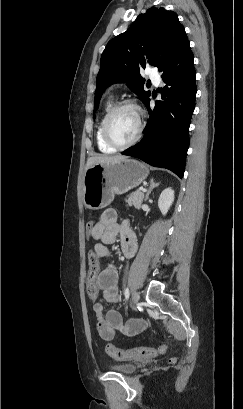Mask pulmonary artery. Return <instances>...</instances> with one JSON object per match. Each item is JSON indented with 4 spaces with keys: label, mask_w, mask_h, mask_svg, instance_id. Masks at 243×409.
Listing matches in <instances>:
<instances>
[{
    "label": "pulmonary artery",
    "mask_w": 243,
    "mask_h": 409,
    "mask_svg": "<svg viewBox=\"0 0 243 409\" xmlns=\"http://www.w3.org/2000/svg\"><path fill=\"white\" fill-rule=\"evenodd\" d=\"M149 77L155 84H159L161 82V77L156 71H151L149 73Z\"/></svg>",
    "instance_id": "e3ab8cb5"
}]
</instances>
